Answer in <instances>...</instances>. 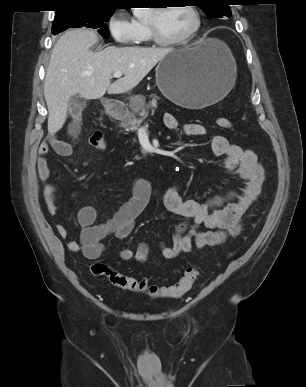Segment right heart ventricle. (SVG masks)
<instances>
[{
	"instance_id": "obj_1",
	"label": "right heart ventricle",
	"mask_w": 306,
	"mask_h": 387,
	"mask_svg": "<svg viewBox=\"0 0 306 387\" xmlns=\"http://www.w3.org/2000/svg\"><path fill=\"white\" fill-rule=\"evenodd\" d=\"M133 22L136 26V31H137L136 39L134 42L140 45L148 44V42L150 41V37H149L146 21L143 19H136Z\"/></svg>"
}]
</instances>
